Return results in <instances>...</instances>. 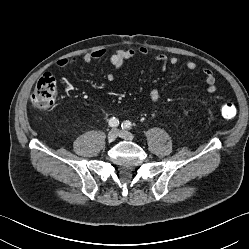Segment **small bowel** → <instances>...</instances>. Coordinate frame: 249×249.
<instances>
[{
    "label": "small bowel",
    "instance_id": "small-bowel-1",
    "mask_svg": "<svg viewBox=\"0 0 249 249\" xmlns=\"http://www.w3.org/2000/svg\"><path fill=\"white\" fill-rule=\"evenodd\" d=\"M136 53L147 56L149 54L148 49L140 48L138 51L133 49H116L109 55V62L111 64L112 70L108 73L107 79L109 81L114 80L115 73L121 68V66L128 60L132 59ZM106 56V51L104 49H97L89 52L83 56V61L90 63L94 60L102 59ZM154 59L161 65V69L167 72L170 66H176L183 64V66L189 71H195L197 69V64L192 60H181L176 56H169L165 53H157L154 55ZM76 61L75 57L61 58L56 62V65L60 68L67 67L68 65ZM202 74L207 86L208 93H214L217 89L216 78L213 71L210 68H203ZM161 99L160 92L157 88H152L150 91V100L152 103H158Z\"/></svg>",
    "mask_w": 249,
    "mask_h": 249
}]
</instances>
